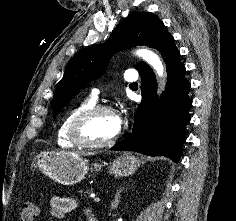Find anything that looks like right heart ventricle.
Masks as SVG:
<instances>
[{
	"label": "right heart ventricle",
	"instance_id": "1",
	"mask_svg": "<svg viewBox=\"0 0 236 221\" xmlns=\"http://www.w3.org/2000/svg\"><path fill=\"white\" fill-rule=\"evenodd\" d=\"M92 105H94V99L88 98L81 101L65 114L57 129V144L59 147L63 149H74L78 147L69 139V126L78 113Z\"/></svg>",
	"mask_w": 236,
	"mask_h": 221
}]
</instances>
